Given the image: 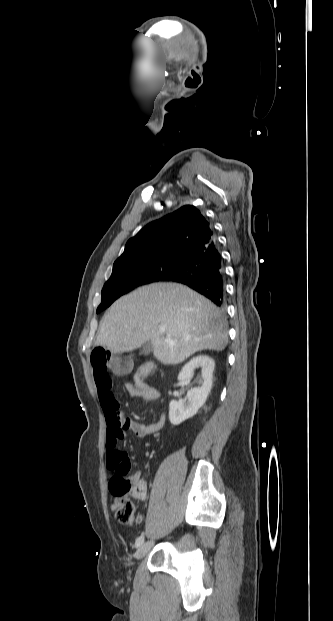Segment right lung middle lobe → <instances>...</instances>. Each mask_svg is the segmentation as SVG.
I'll return each instance as SVG.
<instances>
[{"instance_id": "1", "label": "right lung middle lobe", "mask_w": 333, "mask_h": 621, "mask_svg": "<svg viewBox=\"0 0 333 621\" xmlns=\"http://www.w3.org/2000/svg\"><path fill=\"white\" fill-rule=\"evenodd\" d=\"M185 258L159 257L133 262L114 263L110 279L102 289V302L97 313L109 307L117 298L132 289L161 281L173 274Z\"/></svg>"}]
</instances>
